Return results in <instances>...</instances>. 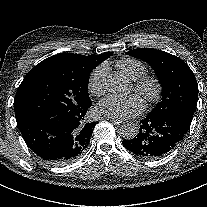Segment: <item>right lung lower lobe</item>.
I'll return each instance as SVG.
<instances>
[{
	"label": "right lung lower lobe",
	"mask_w": 207,
	"mask_h": 207,
	"mask_svg": "<svg viewBox=\"0 0 207 207\" xmlns=\"http://www.w3.org/2000/svg\"><path fill=\"white\" fill-rule=\"evenodd\" d=\"M86 113L64 117L50 113L17 122L28 147L44 161L65 165L80 157L87 148L97 122H89Z\"/></svg>",
	"instance_id": "1"
}]
</instances>
